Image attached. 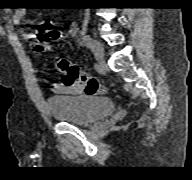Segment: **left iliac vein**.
<instances>
[{
  "label": "left iliac vein",
  "mask_w": 192,
  "mask_h": 180,
  "mask_svg": "<svg viewBox=\"0 0 192 180\" xmlns=\"http://www.w3.org/2000/svg\"><path fill=\"white\" fill-rule=\"evenodd\" d=\"M91 49H92V52H93L95 58L99 62H101L103 60V57H104V46H103V44L100 41L94 39L91 42Z\"/></svg>",
  "instance_id": "1"
}]
</instances>
